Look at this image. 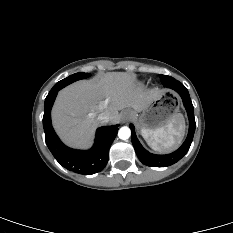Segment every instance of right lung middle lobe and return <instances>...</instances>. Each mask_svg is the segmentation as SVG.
<instances>
[{
	"label": "right lung middle lobe",
	"mask_w": 233,
	"mask_h": 233,
	"mask_svg": "<svg viewBox=\"0 0 233 233\" xmlns=\"http://www.w3.org/2000/svg\"><path fill=\"white\" fill-rule=\"evenodd\" d=\"M90 75L88 73H75V74H72L70 75L69 77L57 82L54 87L51 89L52 90H55V89H62L63 87L71 84L72 82H75L77 80H80V79H84V78H87L89 77Z\"/></svg>",
	"instance_id": "1"
}]
</instances>
